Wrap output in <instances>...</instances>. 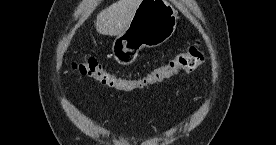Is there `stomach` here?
I'll list each match as a JSON object with an SVG mask.
<instances>
[{
  "label": "stomach",
  "mask_w": 276,
  "mask_h": 145,
  "mask_svg": "<svg viewBox=\"0 0 276 145\" xmlns=\"http://www.w3.org/2000/svg\"><path fill=\"white\" fill-rule=\"evenodd\" d=\"M177 19L175 9L167 1L141 0L127 29L113 42L116 61L128 65L142 48H153L166 42L176 29Z\"/></svg>",
  "instance_id": "stomach-1"
}]
</instances>
